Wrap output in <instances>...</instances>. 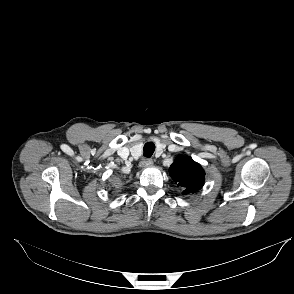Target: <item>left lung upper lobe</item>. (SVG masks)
<instances>
[{
  "instance_id": "1",
  "label": "left lung upper lobe",
  "mask_w": 294,
  "mask_h": 294,
  "mask_svg": "<svg viewBox=\"0 0 294 294\" xmlns=\"http://www.w3.org/2000/svg\"><path fill=\"white\" fill-rule=\"evenodd\" d=\"M169 172L172 179L184 187V194L194 193L204 184L205 172L200 164L191 158L178 156L170 166Z\"/></svg>"
}]
</instances>
